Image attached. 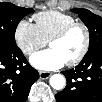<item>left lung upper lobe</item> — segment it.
<instances>
[{
  "label": "left lung upper lobe",
  "mask_w": 102,
  "mask_h": 102,
  "mask_svg": "<svg viewBox=\"0 0 102 102\" xmlns=\"http://www.w3.org/2000/svg\"><path fill=\"white\" fill-rule=\"evenodd\" d=\"M72 11L79 15L89 29L90 44L87 54L95 50H102V18L87 9H72Z\"/></svg>",
  "instance_id": "obj_1"
}]
</instances>
